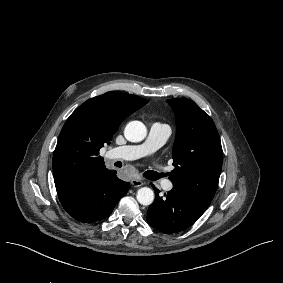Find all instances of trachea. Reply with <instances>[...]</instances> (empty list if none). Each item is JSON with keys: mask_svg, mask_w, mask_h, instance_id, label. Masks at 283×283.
Here are the masks:
<instances>
[{"mask_svg": "<svg viewBox=\"0 0 283 283\" xmlns=\"http://www.w3.org/2000/svg\"><path fill=\"white\" fill-rule=\"evenodd\" d=\"M143 176L149 180H158L161 177L167 176V173L159 174L154 171H146L145 173H143Z\"/></svg>", "mask_w": 283, "mask_h": 283, "instance_id": "3493384b", "label": "trachea"}]
</instances>
